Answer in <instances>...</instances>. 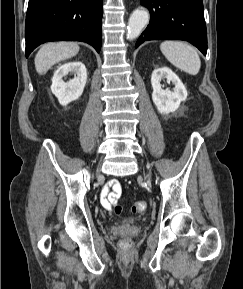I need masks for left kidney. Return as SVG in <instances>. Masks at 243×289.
<instances>
[{"label": "left kidney", "instance_id": "5707ae66", "mask_svg": "<svg viewBox=\"0 0 243 289\" xmlns=\"http://www.w3.org/2000/svg\"><path fill=\"white\" fill-rule=\"evenodd\" d=\"M166 79L168 83L172 82L175 87L163 89L161 81ZM151 84L153 88L152 100L161 114L174 112L180 106L182 101L187 98V90L179 77L168 67L155 69L151 76Z\"/></svg>", "mask_w": 243, "mask_h": 289}]
</instances>
